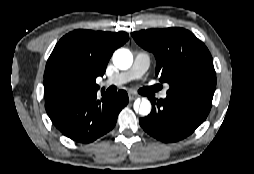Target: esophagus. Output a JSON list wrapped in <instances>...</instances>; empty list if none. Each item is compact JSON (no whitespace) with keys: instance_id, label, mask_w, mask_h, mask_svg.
<instances>
[{"instance_id":"esophagus-1","label":"esophagus","mask_w":254,"mask_h":174,"mask_svg":"<svg viewBox=\"0 0 254 174\" xmlns=\"http://www.w3.org/2000/svg\"><path fill=\"white\" fill-rule=\"evenodd\" d=\"M136 98H138V95H137V94L129 93V100H130V101H133V100H135Z\"/></svg>"}]
</instances>
